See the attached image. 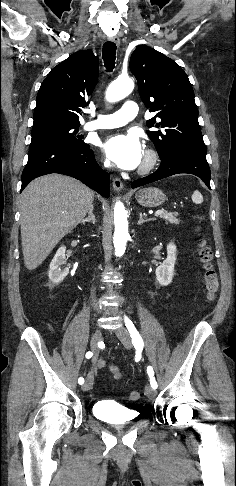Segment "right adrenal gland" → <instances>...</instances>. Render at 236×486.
I'll return each instance as SVG.
<instances>
[{"mask_svg":"<svg viewBox=\"0 0 236 486\" xmlns=\"http://www.w3.org/2000/svg\"><path fill=\"white\" fill-rule=\"evenodd\" d=\"M85 222H92L93 224L96 223V217L94 215V207L93 205L90 207L88 212V217L84 218L81 223L84 224Z\"/></svg>","mask_w":236,"mask_h":486,"instance_id":"2a0ac1e0","label":"right adrenal gland"}]
</instances>
